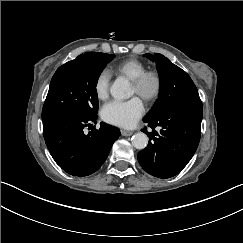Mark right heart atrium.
Returning <instances> with one entry per match:
<instances>
[{"label": "right heart atrium", "instance_id": "right-heart-atrium-1", "mask_svg": "<svg viewBox=\"0 0 243 243\" xmlns=\"http://www.w3.org/2000/svg\"><path fill=\"white\" fill-rule=\"evenodd\" d=\"M111 72L108 68L101 69L93 83L95 96L98 100H104L109 95Z\"/></svg>", "mask_w": 243, "mask_h": 243}]
</instances>
